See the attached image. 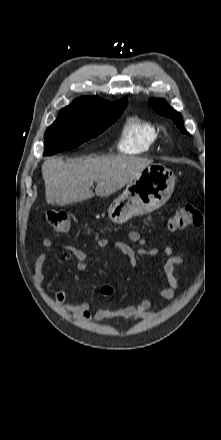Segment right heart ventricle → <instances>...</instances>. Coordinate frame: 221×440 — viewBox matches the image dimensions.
I'll return each mask as SVG.
<instances>
[{"label": "right heart ventricle", "instance_id": "e07e8e85", "mask_svg": "<svg viewBox=\"0 0 221 440\" xmlns=\"http://www.w3.org/2000/svg\"><path fill=\"white\" fill-rule=\"evenodd\" d=\"M162 139L163 135L154 123L133 116L123 126L118 150L125 154H143L153 150Z\"/></svg>", "mask_w": 221, "mask_h": 440}]
</instances>
